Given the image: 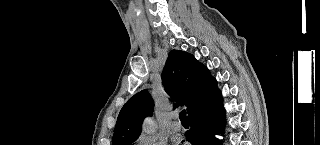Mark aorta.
<instances>
[{
	"label": "aorta",
	"mask_w": 320,
	"mask_h": 145,
	"mask_svg": "<svg viewBox=\"0 0 320 145\" xmlns=\"http://www.w3.org/2000/svg\"><path fill=\"white\" fill-rule=\"evenodd\" d=\"M143 130L146 133H153L155 131V123L153 119H147L143 125Z\"/></svg>",
	"instance_id": "762f6f07"
}]
</instances>
